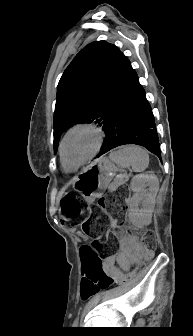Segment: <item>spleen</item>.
<instances>
[{
	"label": "spleen",
	"mask_w": 193,
	"mask_h": 336,
	"mask_svg": "<svg viewBox=\"0 0 193 336\" xmlns=\"http://www.w3.org/2000/svg\"><path fill=\"white\" fill-rule=\"evenodd\" d=\"M109 159L120 167H132L135 172L144 171L149 165V155L141 147L128 145L110 153Z\"/></svg>",
	"instance_id": "obj_1"
}]
</instances>
